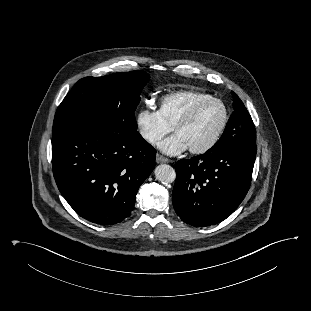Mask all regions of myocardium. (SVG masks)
I'll return each instance as SVG.
<instances>
[{
	"mask_svg": "<svg viewBox=\"0 0 311 311\" xmlns=\"http://www.w3.org/2000/svg\"><path fill=\"white\" fill-rule=\"evenodd\" d=\"M209 102H217L221 105V107L223 109V117H222L221 123H220L219 127L217 128L216 132L214 133L212 138L206 144H204L201 147H197V148H189V151L193 154H203V153L209 151L210 149H212L217 144V142L221 138V136H222V134H223V132L227 126L228 120H229L228 109H227V106L225 105V103L221 99L216 98V97H212V96L205 98L203 100H200L199 102H197L193 106H191L173 127V130L175 132H177L180 128L186 126L188 123L191 122V120L194 118L196 113L204 105H206Z\"/></svg>",
	"mask_w": 311,
	"mask_h": 311,
	"instance_id": "1",
	"label": "myocardium"
}]
</instances>
